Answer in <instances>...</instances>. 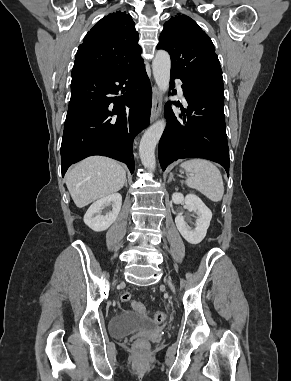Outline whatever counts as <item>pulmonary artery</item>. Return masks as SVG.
I'll return each instance as SVG.
<instances>
[{"label": "pulmonary artery", "instance_id": "obj_1", "mask_svg": "<svg viewBox=\"0 0 291 381\" xmlns=\"http://www.w3.org/2000/svg\"><path fill=\"white\" fill-rule=\"evenodd\" d=\"M176 84L178 86V91L181 95H183V89L181 87V81L180 80H176Z\"/></svg>", "mask_w": 291, "mask_h": 381}]
</instances>
